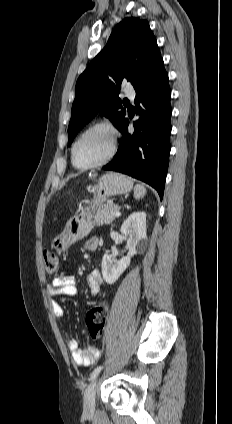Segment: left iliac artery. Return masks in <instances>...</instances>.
Returning a JSON list of instances; mask_svg holds the SVG:
<instances>
[{"mask_svg": "<svg viewBox=\"0 0 232 424\" xmlns=\"http://www.w3.org/2000/svg\"><path fill=\"white\" fill-rule=\"evenodd\" d=\"M103 366H98L97 368L94 369V371L91 373L89 381L93 380L102 370Z\"/></svg>", "mask_w": 232, "mask_h": 424, "instance_id": "left-iliac-artery-1", "label": "left iliac artery"}]
</instances>
